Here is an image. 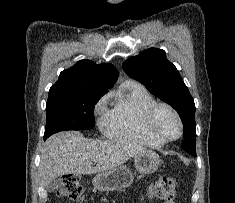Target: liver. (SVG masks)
<instances>
[{
	"label": "liver",
	"instance_id": "6515ba94",
	"mask_svg": "<svg viewBox=\"0 0 235 203\" xmlns=\"http://www.w3.org/2000/svg\"><path fill=\"white\" fill-rule=\"evenodd\" d=\"M145 147L125 140H91L80 132L66 131L49 137L41 151L39 174L47 188L66 174H94L124 164ZM97 162L95 167L91 164Z\"/></svg>",
	"mask_w": 235,
	"mask_h": 203
}]
</instances>
